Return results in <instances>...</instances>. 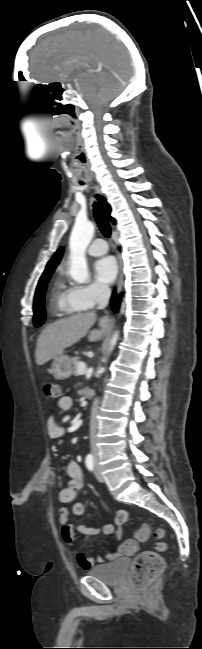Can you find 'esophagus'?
Masks as SVG:
<instances>
[{
  "label": "esophagus",
  "mask_w": 202,
  "mask_h": 649,
  "mask_svg": "<svg viewBox=\"0 0 202 649\" xmlns=\"http://www.w3.org/2000/svg\"><path fill=\"white\" fill-rule=\"evenodd\" d=\"M96 193L101 194V189L99 186L94 187ZM119 268H120V274H119V279L117 282V290L120 291L123 283V273H122V262L121 259L119 258Z\"/></svg>",
  "instance_id": "obj_1"
}]
</instances>
